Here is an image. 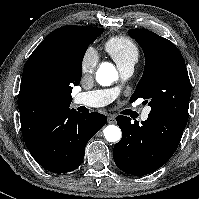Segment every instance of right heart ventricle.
<instances>
[{
  "label": "right heart ventricle",
  "instance_id": "e07e8e85",
  "mask_svg": "<svg viewBox=\"0 0 199 199\" xmlns=\"http://www.w3.org/2000/svg\"><path fill=\"white\" fill-rule=\"evenodd\" d=\"M105 50L110 54L119 68L135 65L139 59V48L136 43L125 36H114L105 43Z\"/></svg>",
  "mask_w": 199,
  "mask_h": 199
}]
</instances>
